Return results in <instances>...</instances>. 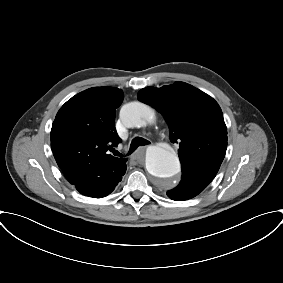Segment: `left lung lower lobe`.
<instances>
[{"instance_id":"1","label":"left lung lower lobe","mask_w":283,"mask_h":283,"mask_svg":"<svg viewBox=\"0 0 283 283\" xmlns=\"http://www.w3.org/2000/svg\"><path fill=\"white\" fill-rule=\"evenodd\" d=\"M208 185L209 183L207 182L195 180L190 176L184 174L182 175L180 184L176 188L167 191V196L172 200H187L198 195Z\"/></svg>"}]
</instances>
